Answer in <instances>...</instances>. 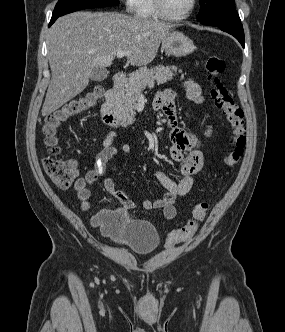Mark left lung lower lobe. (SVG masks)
Segmentation results:
<instances>
[{
	"mask_svg": "<svg viewBox=\"0 0 285 332\" xmlns=\"http://www.w3.org/2000/svg\"><path fill=\"white\" fill-rule=\"evenodd\" d=\"M216 27L221 30L233 35L244 47V31L242 24H232V25H216Z\"/></svg>",
	"mask_w": 285,
	"mask_h": 332,
	"instance_id": "obj_1",
	"label": "left lung lower lobe"
}]
</instances>
